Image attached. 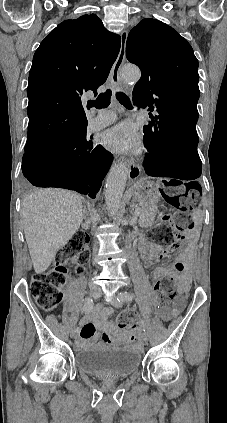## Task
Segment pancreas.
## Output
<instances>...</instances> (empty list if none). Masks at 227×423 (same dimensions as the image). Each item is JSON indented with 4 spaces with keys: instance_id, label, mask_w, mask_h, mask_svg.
I'll return each instance as SVG.
<instances>
[{
    "instance_id": "obj_1",
    "label": "pancreas",
    "mask_w": 227,
    "mask_h": 423,
    "mask_svg": "<svg viewBox=\"0 0 227 423\" xmlns=\"http://www.w3.org/2000/svg\"><path fill=\"white\" fill-rule=\"evenodd\" d=\"M157 208L158 206H142V208H140L142 215L141 219H139L140 225L144 227V225H149L151 221H154L156 213H159Z\"/></svg>"
}]
</instances>
